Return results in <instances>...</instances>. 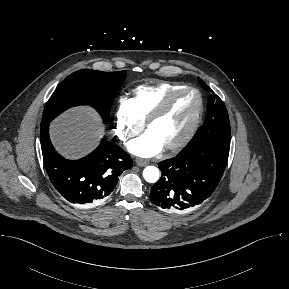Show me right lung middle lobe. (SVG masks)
Returning a JSON list of instances; mask_svg holds the SVG:
<instances>
[{"label":"right lung middle lobe","mask_w":289,"mask_h":289,"mask_svg":"<svg viewBox=\"0 0 289 289\" xmlns=\"http://www.w3.org/2000/svg\"><path fill=\"white\" fill-rule=\"evenodd\" d=\"M126 77V71L101 72L79 70L69 75L48 100L41 126L50 123L66 109L78 105L93 106L106 122L112 102Z\"/></svg>","instance_id":"right-lung-middle-lobe-1"}]
</instances>
